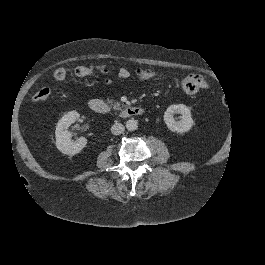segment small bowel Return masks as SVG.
<instances>
[{
	"instance_id": "1",
	"label": "small bowel",
	"mask_w": 265,
	"mask_h": 265,
	"mask_svg": "<svg viewBox=\"0 0 265 265\" xmlns=\"http://www.w3.org/2000/svg\"><path fill=\"white\" fill-rule=\"evenodd\" d=\"M97 70L103 75L111 74L110 70L106 66H98ZM129 70L125 67L121 68L117 74L118 82H121L129 77ZM156 76H164L161 73L151 71L150 76H141L142 80L150 79ZM182 90L189 95H194L201 90L209 88V82L206 78L197 74H190L183 76L179 80ZM118 83L113 82L111 79H105L102 83L103 86H115Z\"/></svg>"
}]
</instances>
